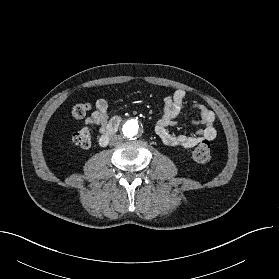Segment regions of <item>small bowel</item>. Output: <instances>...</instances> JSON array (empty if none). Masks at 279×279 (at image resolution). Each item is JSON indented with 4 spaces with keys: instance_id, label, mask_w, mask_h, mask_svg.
Wrapping results in <instances>:
<instances>
[{
    "instance_id": "c3829d8e",
    "label": "small bowel",
    "mask_w": 279,
    "mask_h": 279,
    "mask_svg": "<svg viewBox=\"0 0 279 279\" xmlns=\"http://www.w3.org/2000/svg\"><path fill=\"white\" fill-rule=\"evenodd\" d=\"M185 98L186 92L182 89H178L165 97L163 114L154 124L156 135L167 146L190 149L216 137L213 111L201 103H186ZM108 107V102L105 99H98L95 103V110L86 118V123L98 128L102 134L105 133L108 125L115 118H109ZM185 110H197L199 118L194 121V124L202 127L191 135L171 133L168 128L176 124Z\"/></svg>"
}]
</instances>
